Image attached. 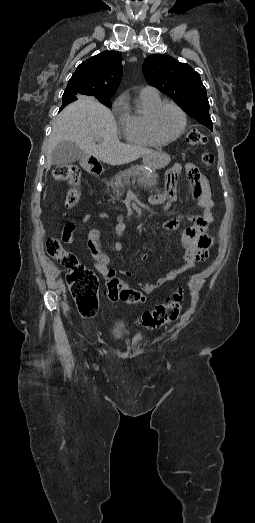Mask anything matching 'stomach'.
<instances>
[{
	"label": "stomach",
	"instance_id": "obj_1",
	"mask_svg": "<svg viewBox=\"0 0 255 523\" xmlns=\"http://www.w3.org/2000/svg\"><path fill=\"white\" fill-rule=\"evenodd\" d=\"M170 154L167 151H157L151 156H146L144 159V166L151 168V170H161L169 164Z\"/></svg>",
	"mask_w": 255,
	"mask_h": 523
}]
</instances>
